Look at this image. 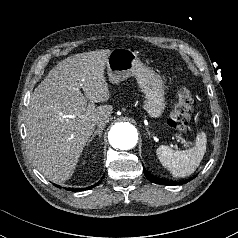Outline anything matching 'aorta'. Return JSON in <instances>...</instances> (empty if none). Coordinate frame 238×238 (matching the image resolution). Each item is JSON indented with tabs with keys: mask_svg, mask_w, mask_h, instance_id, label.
I'll list each match as a JSON object with an SVG mask.
<instances>
[{
	"mask_svg": "<svg viewBox=\"0 0 238 238\" xmlns=\"http://www.w3.org/2000/svg\"><path fill=\"white\" fill-rule=\"evenodd\" d=\"M138 140L136 128L129 123H116L109 133V142L114 148L128 150L133 148Z\"/></svg>",
	"mask_w": 238,
	"mask_h": 238,
	"instance_id": "obj_1",
	"label": "aorta"
}]
</instances>
